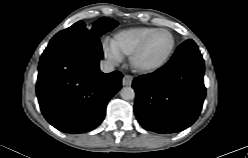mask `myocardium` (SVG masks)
<instances>
[{
  "instance_id": "f54148a6",
  "label": "myocardium",
  "mask_w": 248,
  "mask_h": 158,
  "mask_svg": "<svg viewBox=\"0 0 248 158\" xmlns=\"http://www.w3.org/2000/svg\"><path fill=\"white\" fill-rule=\"evenodd\" d=\"M159 32H165V33L170 35L171 46H170L169 51L167 52V54L164 56V58L161 61H159L158 63H156L154 65H150V66L140 65L138 63V58L141 56V54L145 50L151 37L154 34L159 33ZM175 47H176V39H175V36L173 35V33L171 31L164 29V28L154 29L153 31H151L149 34H147L144 37V39L141 41V43L137 46V48L130 55V57H129L130 66L134 71H136L138 73H142V74H148V73L156 72L167 64V62L170 60L171 56L174 53Z\"/></svg>"
}]
</instances>
